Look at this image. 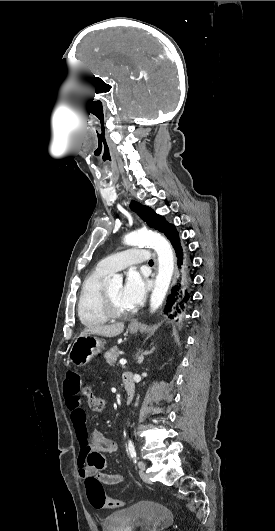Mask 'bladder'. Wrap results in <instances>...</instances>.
Returning a JSON list of instances; mask_svg holds the SVG:
<instances>
[{
    "mask_svg": "<svg viewBox=\"0 0 275 531\" xmlns=\"http://www.w3.org/2000/svg\"><path fill=\"white\" fill-rule=\"evenodd\" d=\"M173 514L164 503L138 501L131 507L106 514L103 531H165L172 525Z\"/></svg>",
    "mask_w": 275,
    "mask_h": 531,
    "instance_id": "1",
    "label": "bladder"
}]
</instances>
